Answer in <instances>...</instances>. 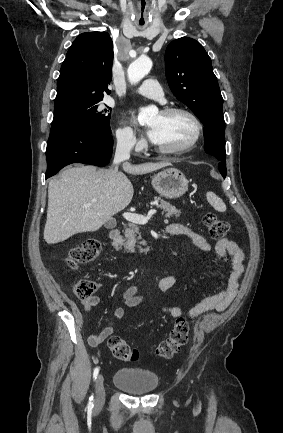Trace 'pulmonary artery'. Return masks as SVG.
I'll return each mask as SVG.
<instances>
[{"instance_id":"e3ab8cb5","label":"pulmonary artery","mask_w":283,"mask_h":433,"mask_svg":"<svg viewBox=\"0 0 283 433\" xmlns=\"http://www.w3.org/2000/svg\"><path fill=\"white\" fill-rule=\"evenodd\" d=\"M135 91L140 95L157 99L164 102L163 92L160 90V84L154 79H146L141 85L135 88Z\"/></svg>"}]
</instances>
